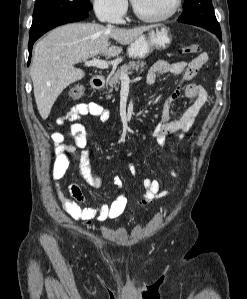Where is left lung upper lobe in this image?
I'll list each match as a JSON object with an SVG mask.
<instances>
[{
	"label": "left lung upper lobe",
	"mask_w": 247,
	"mask_h": 299,
	"mask_svg": "<svg viewBox=\"0 0 247 299\" xmlns=\"http://www.w3.org/2000/svg\"><path fill=\"white\" fill-rule=\"evenodd\" d=\"M187 20L202 21L210 26L220 28L211 0H184V12L178 21Z\"/></svg>",
	"instance_id": "5c2ea615"
}]
</instances>
